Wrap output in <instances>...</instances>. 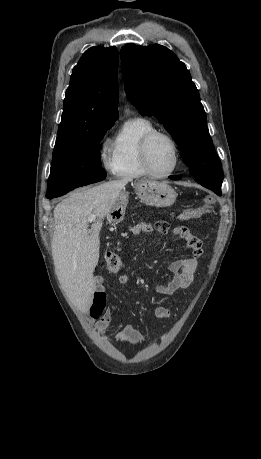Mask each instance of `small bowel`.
Segmentation results:
<instances>
[{
    "mask_svg": "<svg viewBox=\"0 0 261 459\" xmlns=\"http://www.w3.org/2000/svg\"><path fill=\"white\" fill-rule=\"evenodd\" d=\"M133 229L143 232H149L151 230L150 226L146 223H139L135 225ZM164 237H179L185 240L193 251V256L190 258L172 261L169 265L172 279L166 284L156 285V291L158 293L173 295L180 290L187 289L192 284L198 266L197 258L201 256L203 249L199 238L193 235L190 230L184 226L173 227L171 230L165 232ZM118 280L120 284L124 285L129 282L130 277L127 274H122ZM95 295H103L105 297L101 278L96 279ZM154 314L159 319H168L170 317L169 309L159 304L155 306ZM96 319L95 328L99 333L103 334L112 322V314L109 310H105ZM116 340L120 343L129 342L133 345L145 343L143 335L130 324L123 325L122 329L116 334Z\"/></svg>",
    "mask_w": 261,
    "mask_h": 459,
    "instance_id": "c3829d8e",
    "label": "small bowel"
}]
</instances>
